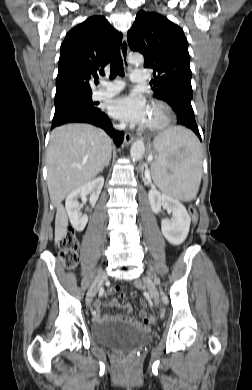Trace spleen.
<instances>
[{
	"instance_id": "1",
	"label": "spleen",
	"mask_w": 252,
	"mask_h": 390,
	"mask_svg": "<svg viewBox=\"0 0 252 390\" xmlns=\"http://www.w3.org/2000/svg\"><path fill=\"white\" fill-rule=\"evenodd\" d=\"M158 158L151 164L155 185L181 201L196 198L202 178V153L196 136L183 127L170 128L154 140ZM173 155L172 161L168 156Z\"/></svg>"
}]
</instances>
